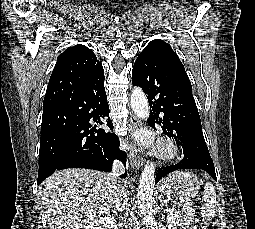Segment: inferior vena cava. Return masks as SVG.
<instances>
[{
  "mask_svg": "<svg viewBox=\"0 0 255 229\" xmlns=\"http://www.w3.org/2000/svg\"><path fill=\"white\" fill-rule=\"evenodd\" d=\"M113 172L116 175H120L123 174L125 172V168L124 165L122 164V162L115 160L113 162ZM120 185L118 186L116 193H115V206H116V210H118L119 212H124V211H128L130 204H129V194L126 191V185L123 184L121 181Z\"/></svg>",
  "mask_w": 255,
  "mask_h": 229,
  "instance_id": "inferior-vena-cava-1",
  "label": "inferior vena cava"
}]
</instances>
